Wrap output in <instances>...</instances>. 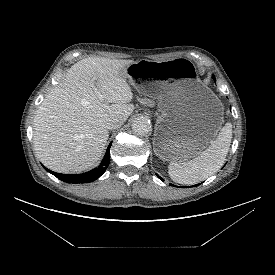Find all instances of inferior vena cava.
Masks as SVG:
<instances>
[{
  "mask_svg": "<svg viewBox=\"0 0 275 275\" xmlns=\"http://www.w3.org/2000/svg\"><path fill=\"white\" fill-rule=\"evenodd\" d=\"M124 122V119L122 116L119 115H112L109 117L106 121V127L110 130L116 129L120 127Z\"/></svg>",
  "mask_w": 275,
  "mask_h": 275,
  "instance_id": "602c4592",
  "label": "inferior vena cava"
}]
</instances>
